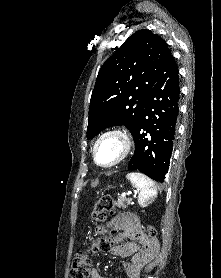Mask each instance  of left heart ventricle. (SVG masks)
<instances>
[{
	"instance_id": "b2bd125f",
	"label": "left heart ventricle",
	"mask_w": 221,
	"mask_h": 278,
	"mask_svg": "<svg viewBox=\"0 0 221 278\" xmlns=\"http://www.w3.org/2000/svg\"><path fill=\"white\" fill-rule=\"evenodd\" d=\"M122 149V141L119 137L107 136L97 145L96 156L99 163L112 164L121 156Z\"/></svg>"
}]
</instances>
